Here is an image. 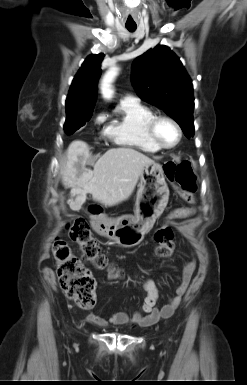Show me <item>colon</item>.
<instances>
[{"mask_svg":"<svg viewBox=\"0 0 247 385\" xmlns=\"http://www.w3.org/2000/svg\"><path fill=\"white\" fill-rule=\"evenodd\" d=\"M165 176L174 184L176 191L187 201L193 202L196 191V174L190 161L180 164L173 161L163 166ZM182 209L172 211L167 221L154 234L157 243L155 255L167 258L172 255L175 243L170 221L182 217ZM72 241L79 244L82 259L90 262L97 270H114L106 255L92 236L88 223L77 218L68 227ZM53 255L57 265L58 282L65 295L82 309H91L96 303V281L91 272L83 265L82 259L76 256L63 240H56L53 245ZM119 274V271H118Z\"/></svg>","mask_w":247,"mask_h":385,"instance_id":"colon-1","label":"colon"}]
</instances>
